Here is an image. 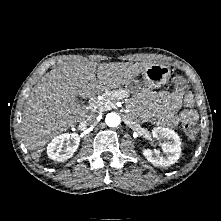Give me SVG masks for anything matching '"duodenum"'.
Here are the masks:
<instances>
[{
  "label": "duodenum",
  "mask_w": 221,
  "mask_h": 221,
  "mask_svg": "<svg viewBox=\"0 0 221 221\" xmlns=\"http://www.w3.org/2000/svg\"><path fill=\"white\" fill-rule=\"evenodd\" d=\"M94 99H95V95H92V96L89 98L90 101H93Z\"/></svg>",
  "instance_id": "410a0bca"
}]
</instances>
